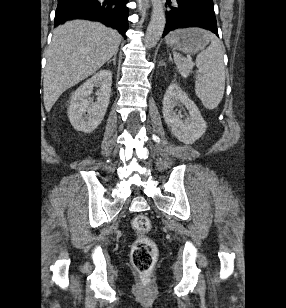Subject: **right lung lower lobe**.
Segmentation results:
<instances>
[{"label":"right lung lower lobe","mask_w":286,"mask_h":308,"mask_svg":"<svg viewBox=\"0 0 286 308\" xmlns=\"http://www.w3.org/2000/svg\"><path fill=\"white\" fill-rule=\"evenodd\" d=\"M127 3L128 0H58L54 26L71 19L99 21L119 30L126 38Z\"/></svg>","instance_id":"1"}]
</instances>
